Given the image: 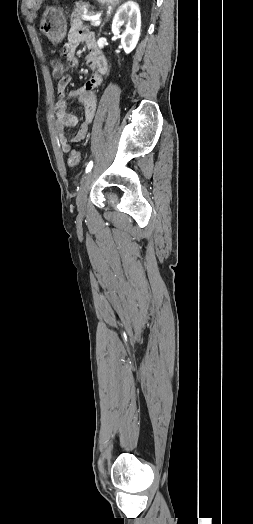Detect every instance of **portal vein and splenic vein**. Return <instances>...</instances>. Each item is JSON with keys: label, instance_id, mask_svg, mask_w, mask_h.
Listing matches in <instances>:
<instances>
[{"label": "portal vein and splenic vein", "instance_id": "obj_1", "mask_svg": "<svg viewBox=\"0 0 253 524\" xmlns=\"http://www.w3.org/2000/svg\"><path fill=\"white\" fill-rule=\"evenodd\" d=\"M100 23H101V21L99 19H93L91 21V25H93V26H99Z\"/></svg>", "mask_w": 253, "mask_h": 524}]
</instances>
